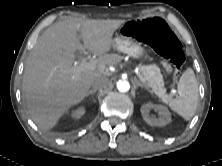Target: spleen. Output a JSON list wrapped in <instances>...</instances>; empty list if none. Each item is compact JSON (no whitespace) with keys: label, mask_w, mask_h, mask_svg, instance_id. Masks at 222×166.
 Listing matches in <instances>:
<instances>
[{"label":"spleen","mask_w":222,"mask_h":166,"mask_svg":"<svg viewBox=\"0 0 222 166\" xmlns=\"http://www.w3.org/2000/svg\"><path fill=\"white\" fill-rule=\"evenodd\" d=\"M177 90L178 95L170 100L169 107L188 121L195 114L199 96L198 82L191 68H187L181 75Z\"/></svg>","instance_id":"spleen-1"}]
</instances>
